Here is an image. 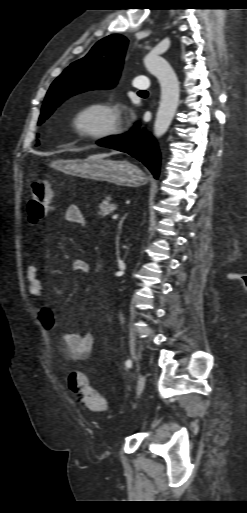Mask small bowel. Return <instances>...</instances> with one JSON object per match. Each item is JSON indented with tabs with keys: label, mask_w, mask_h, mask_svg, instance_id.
<instances>
[{
	"label": "small bowel",
	"mask_w": 247,
	"mask_h": 513,
	"mask_svg": "<svg viewBox=\"0 0 247 513\" xmlns=\"http://www.w3.org/2000/svg\"><path fill=\"white\" fill-rule=\"evenodd\" d=\"M65 221L73 224L83 226L85 220L79 207L70 205L66 208L64 213ZM73 270L89 272L90 267L84 261H75L73 263ZM28 291L31 295L41 297L44 294L45 286L41 277V269L37 265H30L27 269ZM37 319L42 326L53 333H55L60 340V350L64 359L72 362L86 360L94 347L93 334L76 333L61 328L57 322L55 309L50 306L41 307L37 313Z\"/></svg>",
	"instance_id": "1"
}]
</instances>
